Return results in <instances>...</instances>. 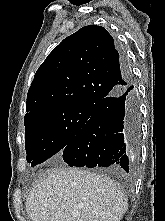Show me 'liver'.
<instances>
[{
  "instance_id": "6515ba94",
  "label": "liver",
  "mask_w": 165,
  "mask_h": 221,
  "mask_svg": "<svg viewBox=\"0 0 165 221\" xmlns=\"http://www.w3.org/2000/svg\"><path fill=\"white\" fill-rule=\"evenodd\" d=\"M127 207L109 178L76 168L46 170L26 199L32 221H120Z\"/></svg>"
}]
</instances>
